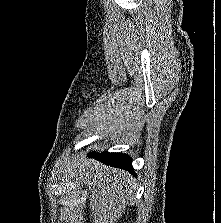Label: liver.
I'll use <instances>...</instances> for the list:
<instances>
[{
    "label": "liver",
    "mask_w": 221,
    "mask_h": 223,
    "mask_svg": "<svg viewBox=\"0 0 221 223\" xmlns=\"http://www.w3.org/2000/svg\"><path fill=\"white\" fill-rule=\"evenodd\" d=\"M76 179L86 187L93 223H114L122 217L133 199L135 180L120 169L111 168L95 159L75 164Z\"/></svg>",
    "instance_id": "obj_1"
}]
</instances>
